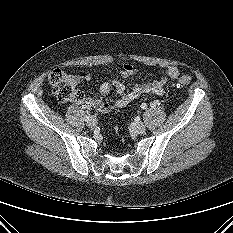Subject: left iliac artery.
Listing matches in <instances>:
<instances>
[{
  "label": "left iliac artery",
  "instance_id": "obj_1",
  "mask_svg": "<svg viewBox=\"0 0 233 233\" xmlns=\"http://www.w3.org/2000/svg\"><path fill=\"white\" fill-rule=\"evenodd\" d=\"M157 104H159L158 102H154L151 104L152 107L156 106ZM141 108L144 110V109H147V104L146 103H142L141 104Z\"/></svg>",
  "mask_w": 233,
  "mask_h": 233
}]
</instances>
